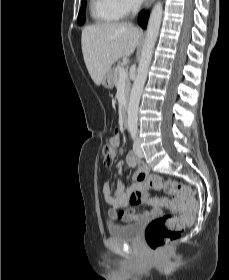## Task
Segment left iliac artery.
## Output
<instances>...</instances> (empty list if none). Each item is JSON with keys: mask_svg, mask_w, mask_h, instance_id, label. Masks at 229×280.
Returning <instances> with one entry per match:
<instances>
[{"mask_svg": "<svg viewBox=\"0 0 229 280\" xmlns=\"http://www.w3.org/2000/svg\"><path fill=\"white\" fill-rule=\"evenodd\" d=\"M131 135H132V138L135 139V137H136V130H131Z\"/></svg>", "mask_w": 229, "mask_h": 280, "instance_id": "obj_1", "label": "left iliac artery"}]
</instances>
